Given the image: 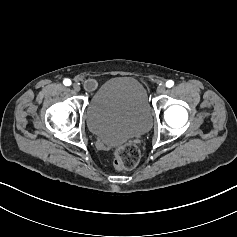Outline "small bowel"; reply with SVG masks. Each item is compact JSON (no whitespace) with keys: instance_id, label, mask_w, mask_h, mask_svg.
Instances as JSON below:
<instances>
[{"instance_id":"small-bowel-1","label":"small bowel","mask_w":237,"mask_h":237,"mask_svg":"<svg viewBox=\"0 0 237 237\" xmlns=\"http://www.w3.org/2000/svg\"><path fill=\"white\" fill-rule=\"evenodd\" d=\"M96 86V81L94 79H89L86 81V87L88 90H92Z\"/></svg>"}]
</instances>
